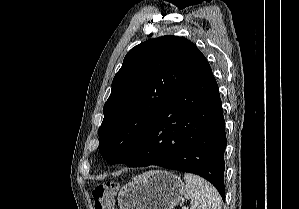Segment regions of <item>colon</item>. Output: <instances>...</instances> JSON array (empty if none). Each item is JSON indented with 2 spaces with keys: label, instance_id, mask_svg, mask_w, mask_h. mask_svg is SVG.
<instances>
[{
  "label": "colon",
  "instance_id": "5ec220e1",
  "mask_svg": "<svg viewBox=\"0 0 299 209\" xmlns=\"http://www.w3.org/2000/svg\"><path fill=\"white\" fill-rule=\"evenodd\" d=\"M118 190L119 186L114 182L97 184L92 190L95 209H113Z\"/></svg>",
  "mask_w": 299,
  "mask_h": 209
}]
</instances>
